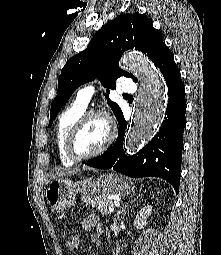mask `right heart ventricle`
Here are the masks:
<instances>
[{
    "label": "right heart ventricle",
    "instance_id": "obj_1",
    "mask_svg": "<svg viewBox=\"0 0 221 255\" xmlns=\"http://www.w3.org/2000/svg\"><path fill=\"white\" fill-rule=\"evenodd\" d=\"M86 107L72 104L59 117L55 128V145L58 158L63 166H72L75 161L70 159L66 153V140L68 133L74 123L84 113Z\"/></svg>",
    "mask_w": 221,
    "mask_h": 255
}]
</instances>
